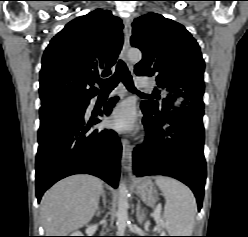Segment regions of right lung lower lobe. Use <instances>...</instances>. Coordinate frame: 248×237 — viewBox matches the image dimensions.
<instances>
[{
	"mask_svg": "<svg viewBox=\"0 0 248 237\" xmlns=\"http://www.w3.org/2000/svg\"><path fill=\"white\" fill-rule=\"evenodd\" d=\"M118 98L104 108L109 115ZM89 100L83 104L46 105L40 108L39 148L36 155V196L58 180L80 173L97 176L116 188L122 146L113 130L90 129L99 119L85 121ZM102 116V111H100Z\"/></svg>",
	"mask_w": 248,
	"mask_h": 237,
	"instance_id": "right-lung-lower-lobe-1",
	"label": "right lung lower lobe"
}]
</instances>
